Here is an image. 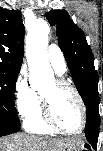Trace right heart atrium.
I'll return each mask as SVG.
<instances>
[{
    "label": "right heart atrium",
    "instance_id": "obj_1",
    "mask_svg": "<svg viewBox=\"0 0 103 151\" xmlns=\"http://www.w3.org/2000/svg\"><path fill=\"white\" fill-rule=\"evenodd\" d=\"M39 102L37 93L29 86L26 76L21 72L14 85V103L18 115L28 118L35 110Z\"/></svg>",
    "mask_w": 103,
    "mask_h": 151
}]
</instances>
